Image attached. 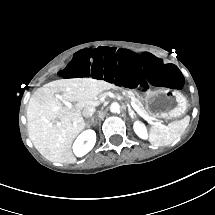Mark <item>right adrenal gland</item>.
Segmentation results:
<instances>
[{"mask_svg": "<svg viewBox=\"0 0 215 215\" xmlns=\"http://www.w3.org/2000/svg\"><path fill=\"white\" fill-rule=\"evenodd\" d=\"M86 126H87V127H90V125H89L88 123H86Z\"/></svg>", "mask_w": 215, "mask_h": 215, "instance_id": "1", "label": "right adrenal gland"}]
</instances>
